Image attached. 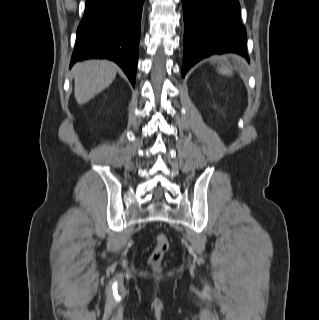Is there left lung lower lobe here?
Segmentation results:
<instances>
[{
  "label": "left lung lower lobe",
  "mask_w": 319,
  "mask_h": 320,
  "mask_svg": "<svg viewBox=\"0 0 319 320\" xmlns=\"http://www.w3.org/2000/svg\"><path fill=\"white\" fill-rule=\"evenodd\" d=\"M184 59L182 76L213 54L236 53L249 60L238 0H182Z\"/></svg>",
  "instance_id": "left-lung-lower-lobe-1"
}]
</instances>
